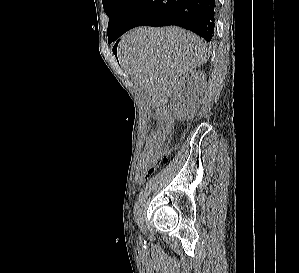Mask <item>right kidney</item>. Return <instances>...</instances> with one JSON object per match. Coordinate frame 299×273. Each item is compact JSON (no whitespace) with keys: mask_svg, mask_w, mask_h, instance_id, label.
Here are the masks:
<instances>
[{"mask_svg":"<svg viewBox=\"0 0 299 273\" xmlns=\"http://www.w3.org/2000/svg\"><path fill=\"white\" fill-rule=\"evenodd\" d=\"M206 86V75L201 70H192L183 75L173 88L170 107L178 120L193 117L201 103Z\"/></svg>","mask_w":299,"mask_h":273,"instance_id":"1","label":"right kidney"}]
</instances>
